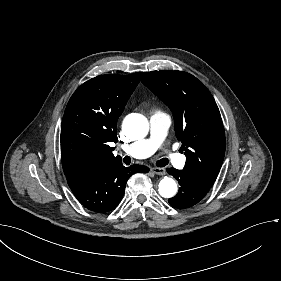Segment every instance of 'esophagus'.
Here are the masks:
<instances>
[{"mask_svg": "<svg viewBox=\"0 0 281 281\" xmlns=\"http://www.w3.org/2000/svg\"><path fill=\"white\" fill-rule=\"evenodd\" d=\"M151 172H153L154 174L157 175H165L166 174V170L165 168H151Z\"/></svg>", "mask_w": 281, "mask_h": 281, "instance_id": "34e87169", "label": "esophagus"}]
</instances>
